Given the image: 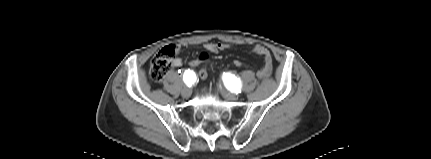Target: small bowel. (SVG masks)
<instances>
[{
	"mask_svg": "<svg viewBox=\"0 0 431 159\" xmlns=\"http://www.w3.org/2000/svg\"><path fill=\"white\" fill-rule=\"evenodd\" d=\"M230 47L231 45L227 43H208L205 45V50L211 53H218L219 51L228 49ZM253 52L261 56L263 59V65L257 71L258 76L261 78L269 76L272 70V58L268 49L261 45H256L253 48ZM182 64H183V61L179 57L174 58L172 61V66L175 68L182 66Z\"/></svg>",
	"mask_w": 431,
	"mask_h": 159,
	"instance_id": "obj_1",
	"label": "small bowel"
}]
</instances>
